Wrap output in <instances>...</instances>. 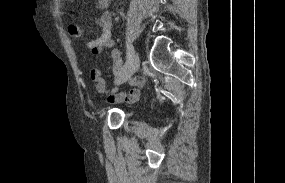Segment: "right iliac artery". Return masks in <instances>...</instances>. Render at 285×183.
Masks as SVG:
<instances>
[{
    "instance_id": "obj_1",
    "label": "right iliac artery",
    "mask_w": 285,
    "mask_h": 183,
    "mask_svg": "<svg viewBox=\"0 0 285 183\" xmlns=\"http://www.w3.org/2000/svg\"><path fill=\"white\" fill-rule=\"evenodd\" d=\"M133 56H134V49H133L132 45H128V46H127V60H126V63H125V66H124L123 71H124V70L127 68V66L131 63ZM121 72H122V71H121Z\"/></svg>"
}]
</instances>
